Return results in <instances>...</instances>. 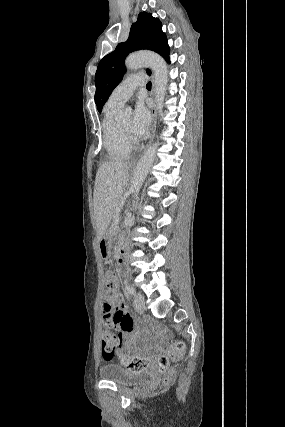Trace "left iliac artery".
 <instances>
[{"mask_svg":"<svg viewBox=\"0 0 285 427\" xmlns=\"http://www.w3.org/2000/svg\"><path fill=\"white\" fill-rule=\"evenodd\" d=\"M128 292H129L131 295H134V294H135V289H134V287L129 286V287H128Z\"/></svg>","mask_w":285,"mask_h":427,"instance_id":"1","label":"left iliac artery"}]
</instances>
